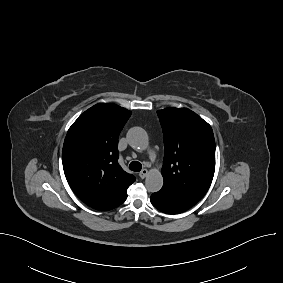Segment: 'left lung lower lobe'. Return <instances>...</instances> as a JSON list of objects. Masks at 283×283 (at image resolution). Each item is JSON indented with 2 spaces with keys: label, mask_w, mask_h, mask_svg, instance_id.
Instances as JSON below:
<instances>
[{
  "label": "left lung lower lobe",
  "mask_w": 283,
  "mask_h": 283,
  "mask_svg": "<svg viewBox=\"0 0 283 283\" xmlns=\"http://www.w3.org/2000/svg\"><path fill=\"white\" fill-rule=\"evenodd\" d=\"M150 201L155 208L167 214H179L189 209L163 188L159 192L153 193Z\"/></svg>",
  "instance_id": "left-lung-lower-lobe-1"
}]
</instances>
